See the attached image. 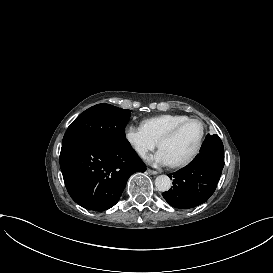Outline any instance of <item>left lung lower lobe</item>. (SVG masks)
<instances>
[{
	"instance_id": "0a47b994",
	"label": "left lung lower lobe",
	"mask_w": 273,
	"mask_h": 273,
	"mask_svg": "<svg viewBox=\"0 0 273 273\" xmlns=\"http://www.w3.org/2000/svg\"><path fill=\"white\" fill-rule=\"evenodd\" d=\"M224 167V147L218 135L207 134L200 153L186 167L173 175V187L163 193L173 207L193 208L214 193Z\"/></svg>"
}]
</instances>
